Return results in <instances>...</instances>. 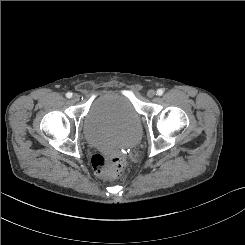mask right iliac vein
I'll return each instance as SVG.
<instances>
[{
  "label": "right iliac vein",
  "mask_w": 245,
  "mask_h": 245,
  "mask_svg": "<svg viewBox=\"0 0 245 245\" xmlns=\"http://www.w3.org/2000/svg\"><path fill=\"white\" fill-rule=\"evenodd\" d=\"M79 98H80V96H79L78 94H74V95L72 96V100H73L74 102L78 101Z\"/></svg>",
  "instance_id": "obj_1"
}]
</instances>
